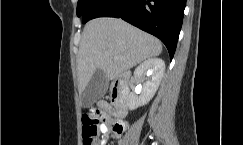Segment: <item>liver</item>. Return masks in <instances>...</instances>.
I'll return each instance as SVG.
<instances>
[{
  "instance_id": "obj_1",
  "label": "liver",
  "mask_w": 243,
  "mask_h": 145,
  "mask_svg": "<svg viewBox=\"0 0 243 145\" xmlns=\"http://www.w3.org/2000/svg\"><path fill=\"white\" fill-rule=\"evenodd\" d=\"M161 52L162 44L157 38L121 19H93L84 27L77 54L79 93L97 69L103 70L108 80H112Z\"/></svg>"
}]
</instances>
